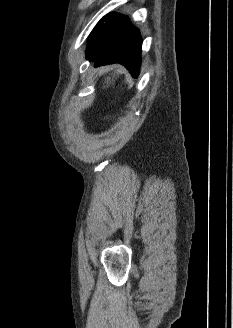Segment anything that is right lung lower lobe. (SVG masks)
I'll use <instances>...</instances> for the list:
<instances>
[{
  "label": "right lung lower lobe",
  "mask_w": 233,
  "mask_h": 328,
  "mask_svg": "<svg viewBox=\"0 0 233 328\" xmlns=\"http://www.w3.org/2000/svg\"><path fill=\"white\" fill-rule=\"evenodd\" d=\"M105 22V23H103ZM141 37L125 16H104L91 33L87 59L96 60L97 66L121 63L137 77L140 67Z\"/></svg>",
  "instance_id": "1"
}]
</instances>
